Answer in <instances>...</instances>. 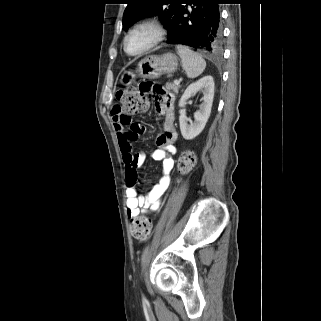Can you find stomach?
Instances as JSON below:
<instances>
[{"label": "stomach", "mask_w": 321, "mask_h": 321, "mask_svg": "<svg viewBox=\"0 0 321 321\" xmlns=\"http://www.w3.org/2000/svg\"><path fill=\"white\" fill-rule=\"evenodd\" d=\"M179 59L171 53L163 55H151L142 59L135 72L126 71L122 75V82L126 85L133 83L137 76L147 79H155L165 73H174L178 69Z\"/></svg>", "instance_id": "0dacf381"}]
</instances>
